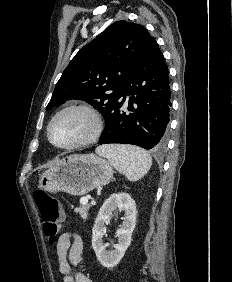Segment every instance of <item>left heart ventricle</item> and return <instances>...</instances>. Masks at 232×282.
Returning a JSON list of instances; mask_svg holds the SVG:
<instances>
[{
  "instance_id": "left-heart-ventricle-1",
  "label": "left heart ventricle",
  "mask_w": 232,
  "mask_h": 282,
  "mask_svg": "<svg viewBox=\"0 0 232 282\" xmlns=\"http://www.w3.org/2000/svg\"><path fill=\"white\" fill-rule=\"evenodd\" d=\"M93 128L91 117L81 111H71L60 116L51 128L54 142L67 145L87 137Z\"/></svg>"
}]
</instances>
